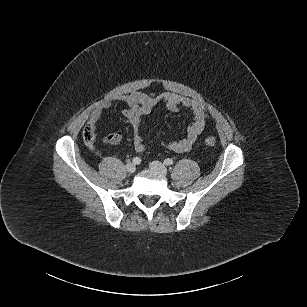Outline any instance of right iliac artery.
Returning <instances> with one entry per match:
<instances>
[{
    "mask_svg": "<svg viewBox=\"0 0 307 307\" xmlns=\"http://www.w3.org/2000/svg\"><path fill=\"white\" fill-rule=\"evenodd\" d=\"M141 163V159L139 157H134L133 158V164L138 165Z\"/></svg>",
    "mask_w": 307,
    "mask_h": 307,
    "instance_id": "1",
    "label": "right iliac artery"
}]
</instances>
